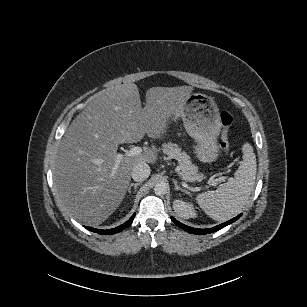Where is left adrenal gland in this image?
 <instances>
[{
    "label": "left adrenal gland",
    "mask_w": 307,
    "mask_h": 307,
    "mask_svg": "<svg viewBox=\"0 0 307 307\" xmlns=\"http://www.w3.org/2000/svg\"><path fill=\"white\" fill-rule=\"evenodd\" d=\"M172 181H173V183H174V189H180V190H182L183 192H186V190L183 189L182 186H180V185L177 184V181H176V180L172 179Z\"/></svg>",
    "instance_id": "obj_1"
}]
</instances>
